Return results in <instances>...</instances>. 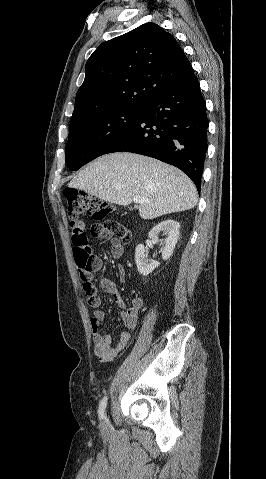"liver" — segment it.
Instances as JSON below:
<instances>
[{
    "instance_id": "6515ba94",
    "label": "liver",
    "mask_w": 266,
    "mask_h": 479,
    "mask_svg": "<svg viewBox=\"0 0 266 479\" xmlns=\"http://www.w3.org/2000/svg\"><path fill=\"white\" fill-rule=\"evenodd\" d=\"M117 205H128L140 196L141 218L151 220L194 208L197 190L182 171L157 159L128 152L103 155L87 165L69 183Z\"/></svg>"
}]
</instances>
